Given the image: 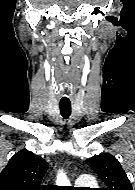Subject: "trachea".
<instances>
[{
    "label": "trachea",
    "mask_w": 135,
    "mask_h": 190,
    "mask_svg": "<svg viewBox=\"0 0 135 190\" xmlns=\"http://www.w3.org/2000/svg\"><path fill=\"white\" fill-rule=\"evenodd\" d=\"M60 114L64 119L69 118L71 115V103H60Z\"/></svg>",
    "instance_id": "3493384b"
}]
</instances>
